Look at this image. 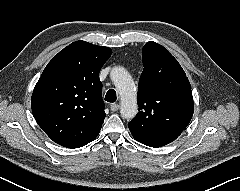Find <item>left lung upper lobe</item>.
I'll return each instance as SVG.
<instances>
[{"label":"left lung upper lobe","instance_id":"obj_1","mask_svg":"<svg viewBox=\"0 0 240 191\" xmlns=\"http://www.w3.org/2000/svg\"><path fill=\"white\" fill-rule=\"evenodd\" d=\"M142 55L139 112L130 121L129 129L142 144L161 147L174 141L192 118L191 85L178 61L163 46L147 42Z\"/></svg>","mask_w":240,"mask_h":191}]
</instances>
